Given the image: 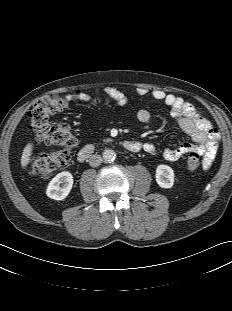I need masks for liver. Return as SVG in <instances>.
<instances>
[{"mask_svg": "<svg viewBox=\"0 0 232 311\" xmlns=\"http://www.w3.org/2000/svg\"><path fill=\"white\" fill-rule=\"evenodd\" d=\"M32 151H33V144L32 143H28L24 150H23V154L21 157V166L22 168H26L27 165L30 162V156L32 155Z\"/></svg>", "mask_w": 232, "mask_h": 311, "instance_id": "6515ba94", "label": "liver"}]
</instances>
